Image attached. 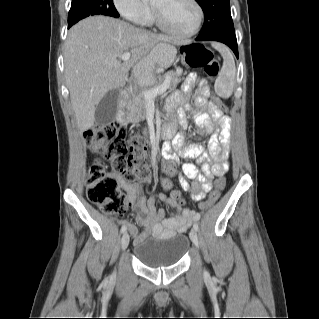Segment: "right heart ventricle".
<instances>
[{
  "label": "right heart ventricle",
  "mask_w": 319,
  "mask_h": 319,
  "mask_svg": "<svg viewBox=\"0 0 319 319\" xmlns=\"http://www.w3.org/2000/svg\"><path fill=\"white\" fill-rule=\"evenodd\" d=\"M152 18H153V16H152V13L150 12V15H149L148 21H152Z\"/></svg>",
  "instance_id": "right-heart-ventricle-1"
}]
</instances>
